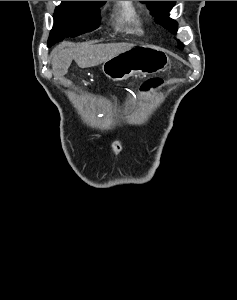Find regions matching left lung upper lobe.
Masks as SVG:
<instances>
[{
  "mask_svg": "<svg viewBox=\"0 0 237 300\" xmlns=\"http://www.w3.org/2000/svg\"><path fill=\"white\" fill-rule=\"evenodd\" d=\"M146 3L151 13L156 17V22L176 34L177 22L169 18V11L174 7L176 1H140ZM179 48H183V43H178Z\"/></svg>",
  "mask_w": 237,
  "mask_h": 300,
  "instance_id": "5c2ea615",
  "label": "left lung upper lobe"
}]
</instances>
